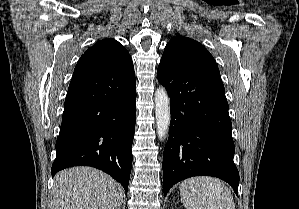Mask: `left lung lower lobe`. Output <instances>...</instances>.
Instances as JSON below:
<instances>
[{
  "label": "left lung lower lobe",
  "mask_w": 299,
  "mask_h": 209,
  "mask_svg": "<svg viewBox=\"0 0 299 209\" xmlns=\"http://www.w3.org/2000/svg\"><path fill=\"white\" fill-rule=\"evenodd\" d=\"M157 77L169 93L172 114L163 155L164 195L175 183L197 175L218 177L238 195L232 123L220 74L159 65Z\"/></svg>",
  "instance_id": "obj_1"
}]
</instances>
